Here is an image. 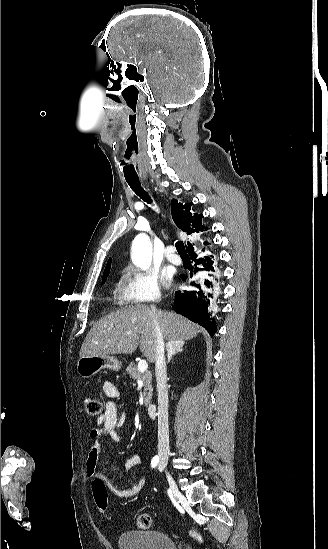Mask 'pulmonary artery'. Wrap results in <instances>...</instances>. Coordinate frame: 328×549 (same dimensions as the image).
Returning a JSON list of instances; mask_svg holds the SVG:
<instances>
[{"label": "pulmonary artery", "instance_id": "obj_1", "mask_svg": "<svg viewBox=\"0 0 328 549\" xmlns=\"http://www.w3.org/2000/svg\"><path fill=\"white\" fill-rule=\"evenodd\" d=\"M165 256L168 259V261H170L171 263L180 264V259L176 254H174L172 248L166 249Z\"/></svg>", "mask_w": 328, "mask_h": 549}]
</instances>
